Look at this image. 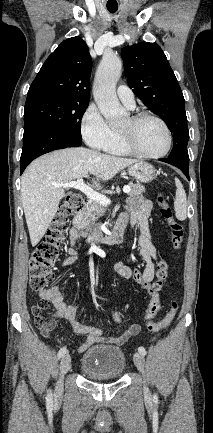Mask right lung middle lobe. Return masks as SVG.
<instances>
[{
    "instance_id": "dd1d6c3e",
    "label": "right lung middle lobe",
    "mask_w": 213,
    "mask_h": 433,
    "mask_svg": "<svg viewBox=\"0 0 213 433\" xmlns=\"http://www.w3.org/2000/svg\"><path fill=\"white\" fill-rule=\"evenodd\" d=\"M89 100L36 96L26 99L24 125L30 122L44 123L78 140L81 137V119Z\"/></svg>"
}]
</instances>
